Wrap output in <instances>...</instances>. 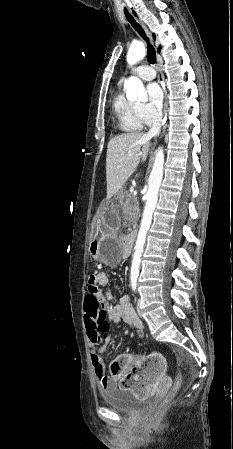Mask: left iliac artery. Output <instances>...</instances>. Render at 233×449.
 I'll return each instance as SVG.
<instances>
[{"instance_id": "44dca946", "label": "left iliac artery", "mask_w": 233, "mask_h": 449, "mask_svg": "<svg viewBox=\"0 0 233 449\" xmlns=\"http://www.w3.org/2000/svg\"><path fill=\"white\" fill-rule=\"evenodd\" d=\"M132 288H133V290H135V289H136V287H135V286H133Z\"/></svg>"}]
</instances>
